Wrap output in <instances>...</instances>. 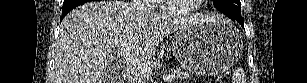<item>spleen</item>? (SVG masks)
Listing matches in <instances>:
<instances>
[{"instance_id":"obj_1","label":"spleen","mask_w":307,"mask_h":83,"mask_svg":"<svg viewBox=\"0 0 307 83\" xmlns=\"http://www.w3.org/2000/svg\"><path fill=\"white\" fill-rule=\"evenodd\" d=\"M232 83H246L245 72L242 68H237L232 76Z\"/></svg>"}]
</instances>
